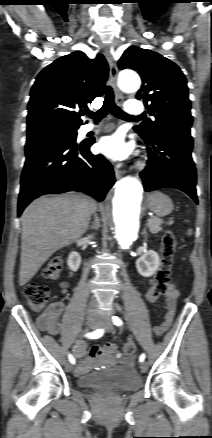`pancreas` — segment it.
<instances>
[{
    "instance_id": "1",
    "label": "pancreas",
    "mask_w": 212,
    "mask_h": 438,
    "mask_svg": "<svg viewBox=\"0 0 212 438\" xmlns=\"http://www.w3.org/2000/svg\"><path fill=\"white\" fill-rule=\"evenodd\" d=\"M162 221L157 218V217H152L150 219H148V228L150 230L151 233L155 234L158 233L159 231L162 230V228L160 227Z\"/></svg>"
}]
</instances>
